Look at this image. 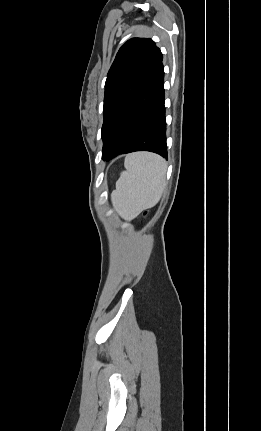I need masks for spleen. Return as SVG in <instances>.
<instances>
[{
    "mask_svg": "<svg viewBox=\"0 0 261 431\" xmlns=\"http://www.w3.org/2000/svg\"><path fill=\"white\" fill-rule=\"evenodd\" d=\"M125 168L112 202L120 215L135 217L159 202L165 188L166 165L160 156L141 152L126 156Z\"/></svg>",
    "mask_w": 261,
    "mask_h": 431,
    "instance_id": "obj_1",
    "label": "spleen"
}]
</instances>
